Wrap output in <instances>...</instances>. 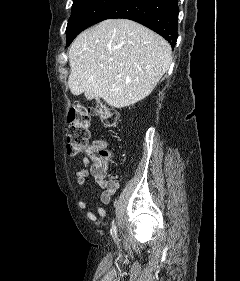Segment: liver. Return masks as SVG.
<instances>
[{
	"instance_id": "6515ba94",
	"label": "liver",
	"mask_w": 240,
	"mask_h": 281,
	"mask_svg": "<svg viewBox=\"0 0 240 281\" xmlns=\"http://www.w3.org/2000/svg\"><path fill=\"white\" fill-rule=\"evenodd\" d=\"M69 64L73 95L87 92L123 108L152 93L171 64V47L137 22L108 19L75 38Z\"/></svg>"
}]
</instances>
